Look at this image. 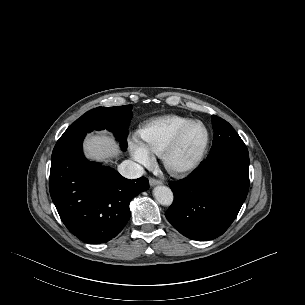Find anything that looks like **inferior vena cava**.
Returning a JSON list of instances; mask_svg holds the SVG:
<instances>
[{
    "label": "inferior vena cava",
    "instance_id": "1",
    "mask_svg": "<svg viewBox=\"0 0 305 305\" xmlns=\"http://www.w3.org/2000/svg\"><path fill=\"white\" fill-rule=\"evenodd\" d=\"M119 173L128 179H136L141 177L144 174V169L138 163L125 160L118 166Z\"/></svg>",
    "mask_w": 305,
    "mask_h": 305
}]
</instances>
